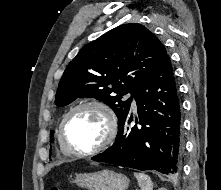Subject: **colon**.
<instances>
[{
    "label": "colon",
    "instance_id": "obj_1",
    "mask_svg": "<svg viewBox=\"0 0 221 190\" xmlns=\"http://www.w3.org/2000/svg\"><path fill=\"white\" fill-rule=\"evenodd\" d=\"M49 190H60V189H59V187H58V186L54 185V186L50 187V189H49Z\"/></svg>",
    "mask_w": 221,
    "mask_h": 190
}]
</instances>
